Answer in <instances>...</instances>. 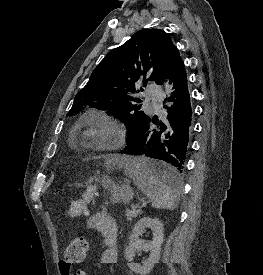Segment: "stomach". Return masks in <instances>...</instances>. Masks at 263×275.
<instances>
[{
  "label": "stomach",
  "mask_w": 263,
  "mask_h": 275,
  "mask_svg": "<svg viewBox=\"0 0 263 275\" xmlns=\"http://www.w3.org/2000/svg\"><path fill=\"white\" fill-rule=\"evenodd\" d=\"M133 198V190L129 186L113 188L111 200L113 202H129Z\"/></svg>",
  "instance_id": "obj_1"
}]
</instances>
